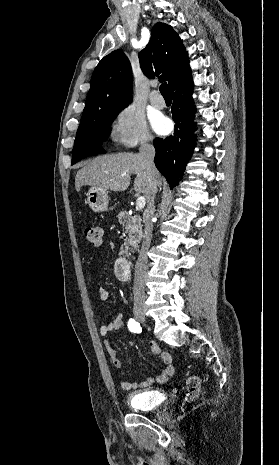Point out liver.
Wrapping results in <instances>:
<instances>
[{"mask_svg":"<svg viewBox=\"0 0 279 465\" xmlns=\"http://www.w3.org/2000/svg\"><path fill=\"white\" fill-rule=\"evenodd\" d=\"M132 174L136 175L134 191L143 194L147 199V170L139 154L134 153H116L94 158L77 172L75 188L79 191L82 186L88 185L106 191L122 192L128 188ZM156 180L157 185H160L161 176L158 172Z\"/></svg>","mask_w":279,"mask_h":465,"instance_id":"liver-1","label":"liver"}]
</instances>
